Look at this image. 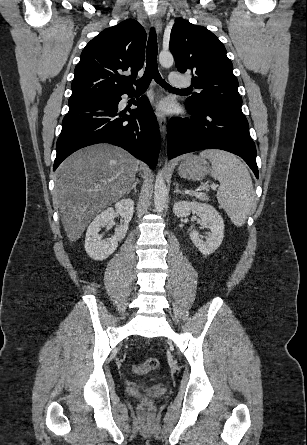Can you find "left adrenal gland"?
I'll list each match as a JSON object with an SVG mask.
<instances>
[{"mask_svg": "<svg viewBox=\"0 0 307 445\" xmlns=\"http://www.w3.org/2000/svg\"><path fill=\"white\" fill-rule=\"evenodd\" d=\"M174 192H179V194H185V192H182V190H179V184L176 182L175 190Z\"/></svg>", "mask_w": 307, "mask_h": 445, "instance_id": "a2214340", "label": "left adrenal gland"}]
</instances>
